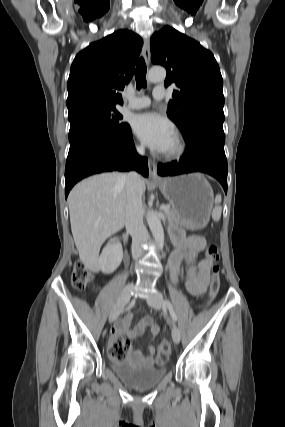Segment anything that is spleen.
Wrapping results in <instances>:
<instances>
[{
  "instance_id": "1",
  "label": "spleen",
  "mask_w": 285,
  "mask_h": 427,
  "mask_svg": "<svg viewBox=\"0 0 285 427\" xmlns=\"http://www.w3.org/2000/svg\"><path fill=\"white\" fill-rule=\"evenodd\" d=\"M221 200L222 198L220 195H217L215 197V207L212 211V219L214 221H219L221 218V213H222V207L220 206Z\"/></svg>"
}]
</instances>
